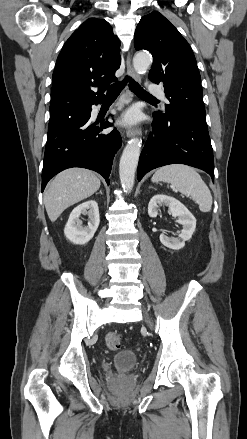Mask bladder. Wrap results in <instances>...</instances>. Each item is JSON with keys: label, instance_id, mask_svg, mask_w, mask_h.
I'll list each match as a JSON object with an SVG mask.
<instances>
[{"label": "bladder", "instance_id": "1", "mask_svg": "<svg viewBox=\"0 0 247 439\" xmlns=\"http://www.w3.org/2000/svg\"><path fill=\"white\" fill-rule=\"evenodd\" d=\"M113 363L119 371H128L138 364V356L132 350H122L114 355Z\"/></svg>", "mask_w": 247, "mask_h": 439}]
</instances>
